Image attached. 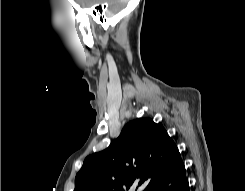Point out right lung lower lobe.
I'll return each instance as SVG.
<instances>
[{
  "mask_svg": "<svg viewBox=\"0 0 245 191\" xmlns=\"http://www.w3.org/2000/svg\"><path fill=\"white\" fill-rule=\"evenodd\" d=\"M152 191H189L184 165L173 175L157 183Z\"/></svg>",
  "mask_w": 245,
  "mask_h": 191,
  "instance_id": "1",
  "label": "right lung lower lobe"
}]
</instances>
